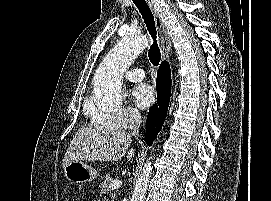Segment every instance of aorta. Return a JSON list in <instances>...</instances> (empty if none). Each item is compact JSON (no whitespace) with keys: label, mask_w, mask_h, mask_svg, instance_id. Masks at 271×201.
Segmentation results:
<instances>
[{"label":"aorta","mask_w":271,"mask_h":201,"mask_svg":"<svg viewBox=\"0 0 271 201\" xmlns=\"http://www.w3.org/2000/svg\"><path fill=\"white\" fill-rule=\"evenodd\" d=\"M148 46V38L143 35H125L107 54L96 72L94 93L103 106H119L124 98L121 79L137 56ZM153 157L144 164L136 181L130 201H144Z\"/></svg>","instance_id":"aorta-1"}]
</instances>
